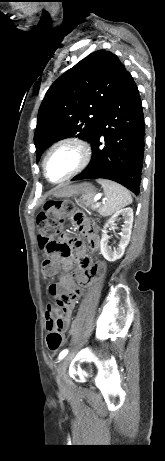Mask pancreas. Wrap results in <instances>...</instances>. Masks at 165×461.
<instances>
[{"mask_svg": "<svg viewBox=\"0 0 165 461\" xmlns=\"http://www.w3.org/2000/svg\"><path fill=\"white\" fill-rule=\"evenodd\" d=\"M77 203H78L79 205H82V206L91 208V209H93V210H95V209L98 208V207L96 206V204L94 203V201H93V196H91V197L85 196V197H83L82 199L78 200Z\"/></svg>", "mask_w": 165, "mask_h": 461, "instance_id": "1", "label": "pancreas"}]
</instances>
